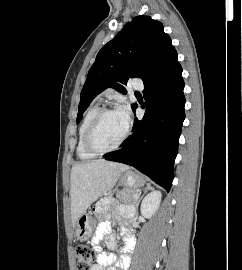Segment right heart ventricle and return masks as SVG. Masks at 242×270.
Listing matches in <instances>:
<instances>
[{
	"instance_id": "1",
	"label": "right heart ventricle",
	"mask_w": 242,
	"mask_h": 270,
	"mask_svg": "<svg viewBox=\"0 0 242 270\" xmlns=\"http://www.w3.org/2000/svg\"><path fill=\"white\" fill-rule=\"evenodd\" d=\"M100 110L101 109L98 104L93 105L91 108L88 109V111L86 112L81 122V125L79 128L78 142H77V154L79 158L82 160H90L96 156L86 150L84 146V137H85V133L87 131L89 124L91 123L93 118L96 116V114Z\"/></svg>"
}]
</instances>
